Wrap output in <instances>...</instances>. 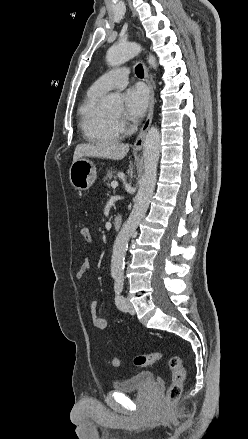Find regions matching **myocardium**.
<instances>
[{
  "label": "myocardium",
  "mask_w": 248,
  "mask_h": 439,
  "mask_svg": "<svg viewBox=\"0 0 248 439\" xmlns=\"http://www.w3.org/2000/svg\"><path fill=\"white\" fill-rule=\"evenodd\" d=\"M113 121L117 122L119 121V118H111Z\"/></svg>",
  "instance_id": "f54148a6"
}]
</instances>
